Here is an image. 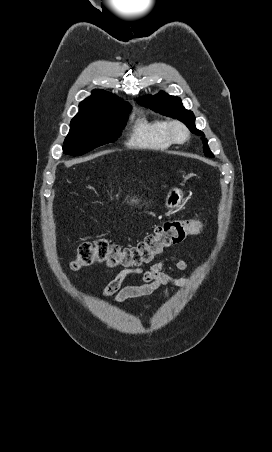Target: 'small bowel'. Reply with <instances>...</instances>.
Listing matches in <instances>:
<instances>
[{
  "mask_svg": "<svg viewBox=\"0 0 272 452\" xmlns=\"http://www.w3.org/2000/svg\"><path fill=\"white\" fill-rule=\"evenodd\" d=\"M190 260H177L170 263H155L149 269H124L120 271L105 287L104 295L112 297L113 302H123L133 298L147 297L160 286L184 287L189 284L186 278L173 277L165 272L167 267L178 271H185L191 266ZM131 274L140 275L141 284L123 286V282Z\"/></svg>",
  "mask_w": 272,
  "mask_h": 452,
  "instance_id": "obj_1",
  "label": "small bowel"
}]
</instances>
